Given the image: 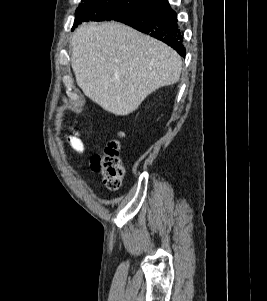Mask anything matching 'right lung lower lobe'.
<instances>
[{
  "mask_svg": "<svg viewBox=\"0 0 267 301\" xmlns=\"http://www.w3.org/2000/svg\"><path fill=\"white\" fill-rule=\"evenodd\" d=\"M114 20L163 41L181 56H185L183 35L177 24L176 13L171 9L168 1L162 0L135 12L120 15Z\"/></svg>",
  "mask_w": 267,
  "mask_h": 301,
  "instance_id": "obj_1",
  "label": "right lung lower lobe"
}]
</instances>
